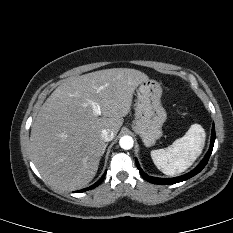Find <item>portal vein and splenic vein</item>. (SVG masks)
<instances>
[{
	"label": "portal vein and splenic vein",
	"mask_w": 233,
	"mask_h": 233,
	"mask_svg": "<svg viewBox=\"0 0 233 233\" xmlns=\"http://www.w3.org/2000/svg\"><path fill=\"white\" fill-rule=\"evenodd\" d=\"M90 105H91V107H92V110H93V113H94V115H100V107L96 104V103H94L93 101H90Z\"/></svg>",
	"instance_id": "18ae733b"
}]
</instances>
